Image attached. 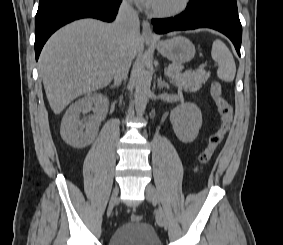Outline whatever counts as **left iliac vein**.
<instances>
[{"label":"left iliac vein","instance_id":"obj_1","mask_svg":"<svg viewBox=\"0 0 283 245\" xmlns=\"http://www.w3.org/2000/svg\"><path fill=\"white\" fill-rule=\"evenodd\" d=\"M145 195L148 201L157 204L159 201L158 193L155 187L152 184H147L145 188ZM158 225L163 228H167L168 222L166 220V217L164 216V213L161 211V216L159 219Z\"/></svg>","mask_w":283,"mask_h":245}]
</instances>
